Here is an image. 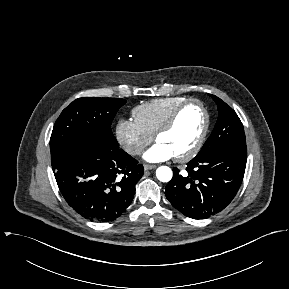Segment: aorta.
<instances>
[{"instance_id": "1", "label": "aorta", "mask_w": 289, "mask_h": 289, "mask_svg": "<svg viewBox=\"0 0 289 289\" xmlns=\"http://www.w3.org/2000/svg\"><path fill=\"white\" fill-rule=\"evenodd\" d=\"M172 176L173 172L168 166H160L156 170V177L161 182H169Z\"/></svg>"}]
</instances>
